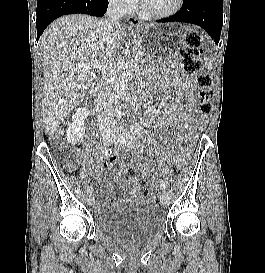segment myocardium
Segmentation results:
<instances>
[{
	"instance_id": "f54148a6",
	"label": "myocardium",
	"mask_w": 265,
	"mask_h": 273,
	"mask_svg": "<svg viewBox=\"0 0 265 273\" xmlns=\"http://www.w3.org/2000/svg\"><path fill=\"white\" fill-rule=\"evenodd\" d=\"M184 3V0H177L175 6L166 12H152L145 8L143 0L139 3V14L148 19H165L169 18L180 11Z\"/></svg>"
}]
</instances>
